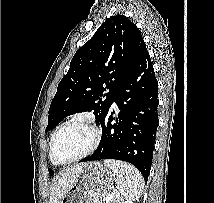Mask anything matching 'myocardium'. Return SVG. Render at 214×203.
Returning a JSON list of instances; mask_svg holds the SVG:
<instances>
[{
    "instance_id": "myocardium-1",
    "label": "myocardium",
    "mask_w": 214,
    "mask_h": 203,
    "mask_svg": "<svg viewBox=\"0 0 214 203\" xmlns=\"http://www.w3.org/2000/svg\"><path fill=\"white\" fill-rule=\"evenodd\" d=\"M75 125H83V126L90 128L93 132V141H92L90 147L81 155H79L76 158L69 160L67 162H59L55 158V145H56L57 139L62 131H64L68 127L75 126ZM100 140H101V129L93 121L83 120V119H75V120L69 121V122L65 123L64 125H62L61 127H59L56 130V132L54 133L52 141H51V146H50V158H51L52 162L57 165H69V164L78 162V161L86 158L90 154H92L95 151V149L98 147Z\"/></svg>"
}]
</instances>
